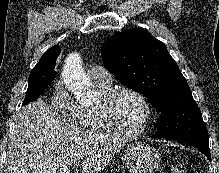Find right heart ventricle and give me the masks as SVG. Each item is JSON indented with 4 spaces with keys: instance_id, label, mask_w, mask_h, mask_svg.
Here are the masks:
<instances>
[{
    "instance_id": "e07e8e85",
    "label": "right heart ventricle",
    "mask_w": 219,
    "mask_h": 173,
    "mask_svg": "<svg viewBox=\"0 0 219 173\" xmlns=\"http://www.w3.org/2000/svg\"><path fill=\"white\" fill-rule=\"evenodd\" d=\"M95 88L99 92L101 96L106 94L108 91L111 90V85H101L94 83ZM78 123L91 131L99 132V133H110L111 131L107 128L105 123L103 122L98 105L94 106H81L79 107V119Z\"/></svg>"
}]
</instances>
